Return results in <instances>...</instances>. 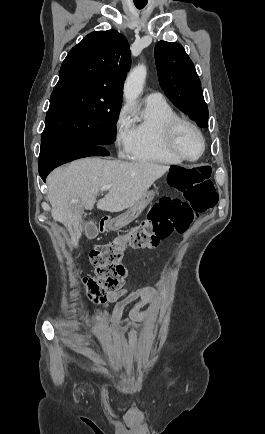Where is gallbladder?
Masks as SVG:
<instances>
[{"mask_svg": "<svg viewBox=\"0 0 265 434\" xmlns=\"http://www.w3.org/2000/svg\"><path fill=\"white\" fill-rule=\"evenodd\" d=\"M85 226V237L88 239L96 238L98 236L97 226L94 224L93 220H88Z\"/></svg>", "mask_w": 265, "mask_h": 434, "instance_id": "gallbladder-1", "label": "gallbladder"}]
</instances>
